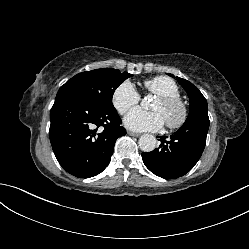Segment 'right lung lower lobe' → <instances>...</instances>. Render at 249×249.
<instances>
[{
  "mask_svg": "<svg viewBox=\"0 0 249 249\" xmlns=\"http://www.w3.org/2000/svg\"><path fill=\"white\" fill-rule=\"evenodd\" d=\"M49 137L60 165L89 178L110 163L117 138L126 134L116 109L91 105L72 93H57L50 112Z\"/></svg>",
  "mask_w": 249,
  "mask_h": 249,
  "instance_id": "right-lung-lower-lobe-1",
  "label": "right lung lower lobe"
}]
</instances>
